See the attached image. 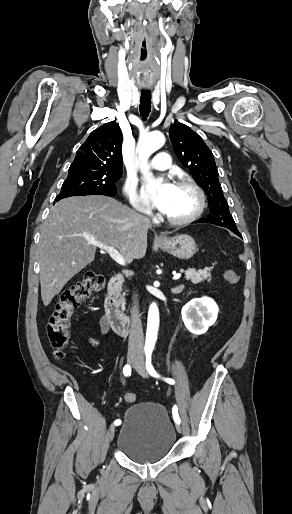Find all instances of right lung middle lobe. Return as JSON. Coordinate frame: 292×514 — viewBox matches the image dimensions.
I'll return each instance as SVG.
<instances>
[{"label":"right lung middle lobe","mask_w":292,"mask_h":514,"mask_svg":"<svg viewBox=\"0 0 292 514\" xmlns=\"http://www.w3.org/2000/svg\"><path fill=\"white\" fill-rule=\"evenodd\" d=\"M122 174L107 173H68L60 194L55 201L81 195H107L117 194L115 183Z\"/></svg>","instance_id":"1"}]
</instances>
